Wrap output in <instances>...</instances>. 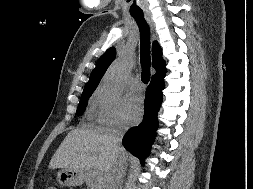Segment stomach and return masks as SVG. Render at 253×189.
<instances>
[{"label": "stomach", "mask_w": 253, "mask_h": 189, "mask_svg": "<svg viewBox=\"0 0 253 189\" xmlns=\"http://www.w3.org/2000/svg\"><path fill=\"white\" fill-rule=\"evenodd\" d=\"M86 178L87 174L85 172L72 169H62L57 173V181L61 186H78Z\"/></svg>", "instance_id": "0dacf381"}]
</instances>
